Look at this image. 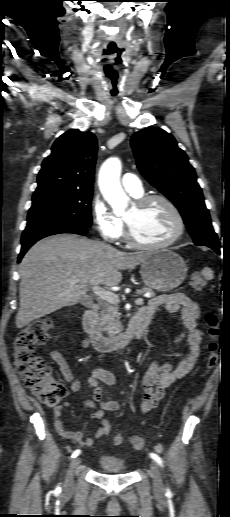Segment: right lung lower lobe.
I'll return each mask as SVG.
<instances>
[{
	"label": "right lung lower lobe",
	"instance_id": "98d812e1",
	"mask_svg": "<svg viewBox=\"0 0 230 517\" xmlns=\"http://www.w3.org/2000/svg\"><path fill=\"white\" fill-rule=\"evenodd\" d=\"M87 229L88 227L70 224L67 222H50L26 227L21 238L22 247L18 257V262L21 261L23 255L35 242L44 237L60 233L85 235L88 232Z\"/></svg>",
	"mask_w": 230,
	"mask_h": 517
}]
</instances>
